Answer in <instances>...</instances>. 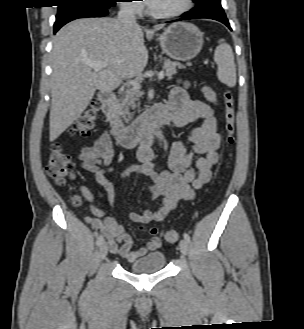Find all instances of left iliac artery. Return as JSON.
<instances>
[{
  "label": "left iliac artery",
  "instance_id": "obj_1",
  "mask_svg": "<svg viewBox=\"0 0 304 329\" xmlns=\"http://www.w3.org/2000/svg\"><path fill=\"white\" fill-rule=\"evenodd\" d=\"M183 237L187 242L190 241V236L187 233H184Z\"/></svg>",
  "mask_w": 304,
  "mask_h": 329
}]
</instances>
